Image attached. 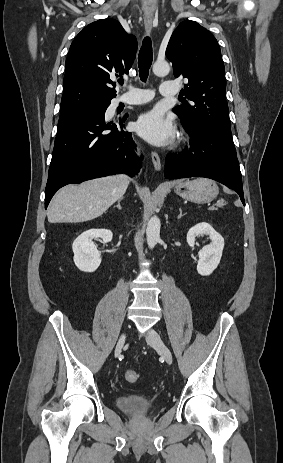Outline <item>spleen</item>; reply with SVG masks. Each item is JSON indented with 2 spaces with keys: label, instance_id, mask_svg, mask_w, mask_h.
<instances>
[{
  "label": "spleen",
  "instance_id": "obj_1",
  "mask_svg": "<svg viewBox=\"0 0 283 463\" xmlns=\"http://www.w3.org/2000/svg\"><path fill=\"white\" fill-rule=\"evenodd\" d=\"M219 202H220L221 204H223L224 201H223V200H220Z\"/></svg>",
  "mask_w": 283,
  "mask_h": 463
}]
</instances>
